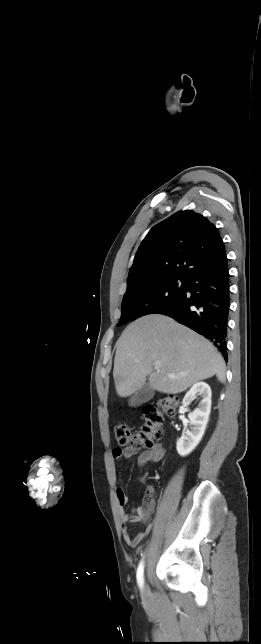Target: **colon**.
I'll use <instances>...</instances> for the list:
<instances>
[{"instance_id":"colon-1","label":"colon","mask_w":261,"mask_h":644,"mask_svg":"<svg viewBox=\"0 0 261 644\" xmlns=\"http://www.w3.org/2000/svg\"><path fill=\"white\" fill-rule=\"evenodd\" d=\"M178 406V398L173 395L161 397L143 408L144 423L137 433H132L124 424L114 428L115 438L120 445L137 448H151L162 437L164 415L173 416Z\"/></svg>"}]
</instances>
